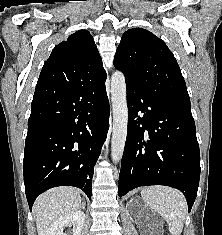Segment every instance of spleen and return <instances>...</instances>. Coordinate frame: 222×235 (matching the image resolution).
I'll use <instances>...</instances> for the list:
<instances>
[{
	"label": "spleen",
	"instance_id": "3e777b00",
	"mask_svg": "<svg viewBox=\"0 0 222 235\" xmlns=\"http://www.w3.org/2000/svg\"><path fill=\"white\" fill-rule=\"evenodd\" d=\"M141 197L167 222L171 235H181L188 210L181 192L165 186H150L141 190Z\"/></svg>",
	"mask_w": 222,
	"mask_h": 235
}]
</instances>
